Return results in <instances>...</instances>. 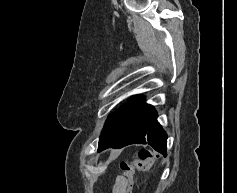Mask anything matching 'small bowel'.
<instances>
[{
  "mask_svg": "<svg viewBox=\"0 0 237 193\" xmlns=\"http://www.w3.org/2000/svg\"><path fill=\"white\" fill-rule=\"evenodd\" d=\"M127 179L124 176H116L112 185V193H127Z\"/></svg>",
  "mask_w": 237,
  "mask_h": 193,
  "instance_id": "1",
  "label": "small bowel"
}]
</instances>
